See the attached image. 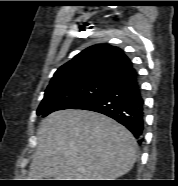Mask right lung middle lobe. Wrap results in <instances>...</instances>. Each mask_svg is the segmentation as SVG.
Listing matches in <instances>:
<instances>
[{
	"mask_svg": "<svg viewBox=\"0 0 178 186\" xmlns=\"http://www.w3.org/2000/svg\"><path fill=\"white\" fill-rule=\"evenodd\" d=\"M108 86V84L103 83H90L45 92L44 98L37 110V115L45 117L57 110L79 108L99 95Z\"/></svg>",
	"mask_w": 178,
	"mask_h": 186,
	"instance_id": "right-lung-middle-lobe-1",
	"label": "right lung middle lobe"
}]
</instances>
